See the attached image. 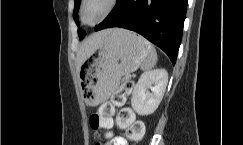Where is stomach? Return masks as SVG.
Instances as JSON below:
<instances>
[{"label":"stomach","instance_id":"1","mask_svg":"<svg viewBox=\"0 0 243 145\" xmlns=\"http://www.w3.org/2000/svg\"><path fill=\"white\" fill-rule=\"evenodd\" d=\"M148 52L142 37L125 29H110L81 68L84 102L92 106L106 102L119 87L121 78L135 71Z\"/></svg>","mask_w":243,"mask_h":145}]
</instances>
